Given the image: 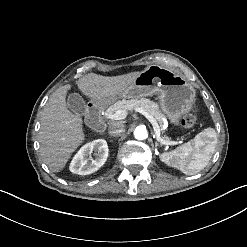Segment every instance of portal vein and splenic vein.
Listing matches in <instances>:
<instances>
[{"label": "portal vein and splenic vein", "mask_w": 247, "mask_h": 247, "mask_svg": "<svg viewBox=\"0 0 247 247\" xmlns=\"http://www.w3.org/2000/svg\"><path fill=\"white\" fill-rule=\"evenodd\" d=\"M132 111L144 115L151 122V124L153 125L154 130L157 133V140L159 142H161L162 144H167V145L174 144V145H177L179 142L182 143V141H176V142H173V143L172 142L171 143H166L165 141H162V139L160 137V134H159V126H158V123H157L156 119L154 118V116L151 115L149 112H147L142 107H136ZM127 115H128V110L127 109H120V110L117 111V113L110 114L107 118L113 119V120H122V119H125L127 117Z\"/></svg>", "instance_id": "portal-vein-and-splenic-vein-1"}]
</instances>
